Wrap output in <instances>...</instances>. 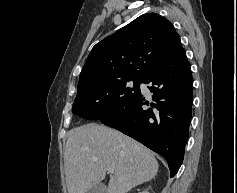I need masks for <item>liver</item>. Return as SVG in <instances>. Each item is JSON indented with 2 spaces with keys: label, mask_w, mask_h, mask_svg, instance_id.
Returning a JSON list of instances; mask_svg holds the SVG:
<instances>
[{
  "label": "liver",
  "mask_w": 237,
  "mask_h": 193,
  "mask_svg": "<svg viewBox=\"0 0 237 193\" xmlns=\"http://www.w3.org/2000/svg\"><path fill=\"white\" fill-rule=\"evenodd\" d=\"M64 162L68 193H86L105 178L108 168H113L114 173L107 193H127L152 180L159 168L148 148L115 129L95 123L70 132Z\"/></svg>",
  "instance_id": "1"
}]
</instances>
